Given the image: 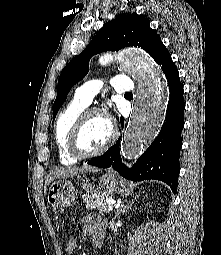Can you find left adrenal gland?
Instances as JSON below:
<instances>
[{
    "mask_svg": "<svg viewBox=\"0 0 221 255\" xmlns=\"http://www.w3.org/2000/svg\"><path fill=\"white\" fill-rule=\"evenodd\" d=\"M139 197L140 194L133 196L131 200L130 199L125 200V203H122L120 207L116 210L115 217L119 218L121 214L127 212Z\"/></svg>",
    "mask_w": 221,
    "mask_h": 255,
    "instance_id": "left-adrenal-gland-1",
    "label": "left adrenal gland"
}]
</instances>
